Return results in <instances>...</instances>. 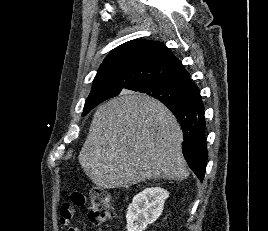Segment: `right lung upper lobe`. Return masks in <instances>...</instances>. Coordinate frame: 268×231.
I'll return each instance as SVG.
<instances>
[{
	"mask_svg": "<svg viewBox=\"0 0 268 231\" xmlns=\"http://www.w3.org/2000/svg\"><path fill=\"white\" fill-rule=\"evenodd\" d=\"M147 80L167 83L193 95L198 89L182 63L165 45L158 41L132 40L115 48L105 58L86 103L97 104L117 96L102 95L104 90L130 89Z\"/></svg>",
	"mask_w": 268,
	"mask_h": 231,
	"instance_id": "cb5924a9",
	"label": "right lung upper lobe"
}]
</instances>
